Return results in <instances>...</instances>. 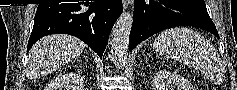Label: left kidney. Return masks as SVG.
<instances>
[{
    "label": "left kidney",
    "instance_id": "obj_1",
    "mask_svg": "<svg viewBox=\"0 0 237 90\" xmlns=\"http://www.w3.org/2000/svg\"><path fill=\"white\" fill-rule=\"evenodd\" d=\"M153 90H194L189 80H184L182 76L160 70L153 78Z\"/></svg>",
    "mask_w": 237,
    "mask_h": 90
}]
</instances>
